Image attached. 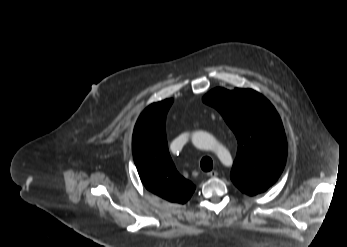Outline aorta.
I'll use <instances>...</instances> for the list:
<instances>
[{"label": "aorta", "instance_id": "762f6f07", "mask_svg": "<svg viewBox=\"0 0 347 247\" xmlns=\"http://www.w3.org/2000/svg\"><path fill=\"white\" fill-rule=\"evenodd\" d=\"M213 137L204 131H196L192 135L193 144L199 149H210L216 152L217 154L222 151L221 147H213L212 146Z\"/></svg>", "mask_w": 347, "mask_h": 247}]
</instances>
